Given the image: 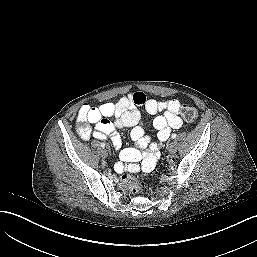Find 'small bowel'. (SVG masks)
Masks as SVG:
<instances>
[{"instance_id":"c3829d8e","label":"small bowel","mask_w":257,"mask_h":257,"mask_svg":"<svg viewBox=\"0 0 257 257\" xmlns=\"http://www.w3.org/2000/svg\"><path fill=\"white\" fill-rule=\"evenodd\" d=\"M140 108L150 114L162 113L152 122L158 130L159 142L166 141L171 130L182 127L183 122L179 116L181 105L177 100L148 99L144 93L134 92L121 97L117 102H104L99 106L83 105L78 113L77 132L83 140L90 137L105 139L109 136L122 158L129 163L126 166L118 164V170L127 168L151 171L160 156L159 144L152 142L145 134ZM110 117H114V120H110ZM120 128L131 129L130 136L136 148H121L122 140L117 132Z\"/></svg>"}]
</instances>
